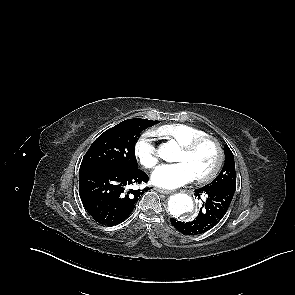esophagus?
<instances>
[{
    "label": "esophagus",
    "mask_w": 295,
    "mask_h": 295,
    "mask_svg": "<svg viewBox=\"0 0 295 295\" xmlns=\"http://www.w3.org/2000/svg\"><path fill=\"white\" fill-rule=\"evenodd\" d=\"M155 190L158 191L159 193L166 194V195L171 193L169 190L162 189V188H155Z\"/></svg>",
    "instance_id": "obj_1"
}]
</instances>
